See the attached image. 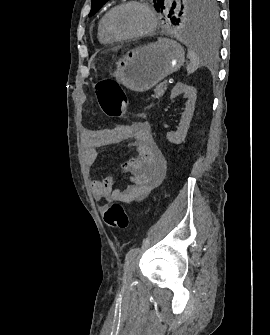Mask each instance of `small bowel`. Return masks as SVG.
Instances as JSON below:
<instances>
[{
	"label": "small bowel",
	"instance_id": "1",
	"mask_svg": "<svg viewBox=\"0 0 270 335\" xmlns=\"http://www.w3.org/2000/svg\"><path fill=\"white\" fill-rule=\"evenodd\" d=\"M121 140L132 139L137 156L127 160L121 171L128 174V184L123 189H113L116 175L90 182L97 199L132 204L142 200L157 187L165 174L166 162L158 151L151 134L150 124L137 121L118 129ZM104 131L88 129L85 132V162L92 166L98 157V149L103 144Z\"/></svg>",
	"mask_w": 270,
	"mask_h": 335
}]
</instances>
